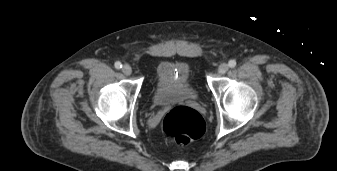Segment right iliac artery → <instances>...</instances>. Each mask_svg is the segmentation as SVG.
I'll use <instances>...</instances> for the list:
<instances>
[{"label":"right iliac artery","mask_w":337,"mask_h":171,"mask_svg":"<svg viewBox=\"0 0 337 171\" xmlns=\"http://www.w3.org/2000/svg\"><path fill=\"white\" fill-rule=\"evenodd\" d=\"M115 68H117V69H121L122 68V64H121V62H116L115 63Z\"/></svg>","instance_id":"right-iliac-artery-1"}]
</instances>
